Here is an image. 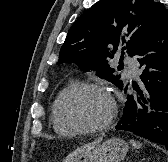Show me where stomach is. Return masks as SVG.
Segmentation results:
<instances>
[{
  "mask_svg": "<svg viewBox=\"0 0 168 162\" xmlns=\"http://www.w3.org/2000/svg\"><path fill=\"white\" fill-rule=\"evenodd\" d=\"M128 152V144L120 138H110L98 147L74 157L69 162H120Z\"/></svg>",
  "mask_w": 168,
  "mask_h": 162,
  "instance_id": "1",
  "label": "stomach"
}]
</instances>
